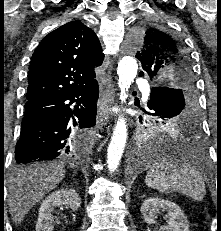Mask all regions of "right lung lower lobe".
I'll return each instance as SVG.
<instances>
[{"mask_svg": "<svg viewBox=\"0 0 221 231\" xmlns=\"http://www.w3.org/2000/svg\"><path fill=\"white\" fill-rule=\"evenodd\" d=\"M98 93L96 81L84 88L28 99L15 149L16 162L26 164L82 154L87 130L95 125Z\"/></svg>", "mask_w": 221, "mask_h": 231, "instance_id": "98d812e1", "label": "right lung lower lobe"}]
</instances>
